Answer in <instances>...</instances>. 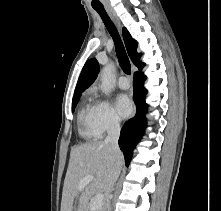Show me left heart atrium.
Returning a JSON list of instances; mask_svg holds the SVG:
<instances>
[{"label": "left heart atrium", "mask_w": 221, "mask_h": 211, "mask_svg": "<svg viewBox=\"0 0 221 211\" xmlns=\"http://www.w3.org/2000/svg\"><path fill=\"white\" fill-rule=\"evenodd\" d=\"M115 108H116L117 113L122 118L129 116L132 112V104L128 96L125 94H120L116 98Z\"/></svg>", "instance_id": "left-heart-atrium-1"}]
</instances>
